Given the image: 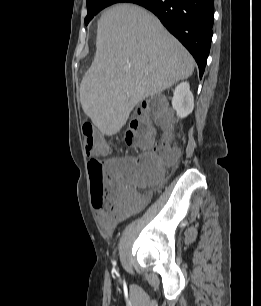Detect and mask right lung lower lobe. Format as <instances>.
<instances>
[{"label": "right lung lower lobe", "mask_w": 261, "mask_h": 306, "mask_svg": "<svg viewBox=\"0 0 261 306\" xmlns=\"http://www.w3.org/2000/svg\"><path fill=\"white\" fill-rule=\"evenodd\" d=\"M152 11L193 55L202 77L212 40L213 0H134Z\"/></svg>", "instance_id": "right-lung-lower-lobe-1"}]
</instances>
